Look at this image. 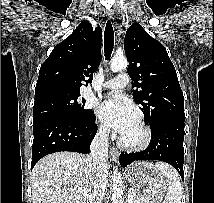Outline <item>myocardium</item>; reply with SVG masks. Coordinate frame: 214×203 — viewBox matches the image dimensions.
<instances>
[{
    "instance_id": "f54148a6",
    "label": "myocardium",
    "mask_w": 214,
    "mask_h": 203,
    "mask_svg": "<svg viewBox=\"0 0 214 203\" xmlns=\"http://www.w3.org/2000/svg\"><path fill=\"white\" fill-rule=\"evenodd\" d=\"M137 125L141 132L140 138L135 141H130L122 135L119 140V144L122 148L132 151H139L147 148L150 144L152 133L149 127L142 121H138Z\"/></svg>"
}]
</instances>
